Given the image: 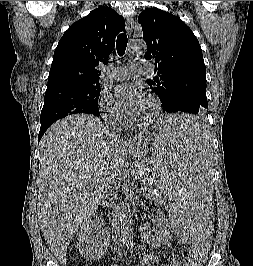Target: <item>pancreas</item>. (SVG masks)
I'll return each instance as SVG.
<instances>
[{"instance_id": "obj_1", "label": "pancreas", "mask_w": 253, "mask_h": 266, "mask_svg": "<svg viewBox=\"0 0 253 266\" xmlns=\"http://www.w3.org/2000/svg\"><path fill=\"white\" fill-rule=\"evenodd\" d=\"M139 179L142 180L144 182V184L148 185L147 179L145 177H142V178L140 177ZM145 196L149 198L150 194L146 193Z\"/></svg>"}]
</instances>
